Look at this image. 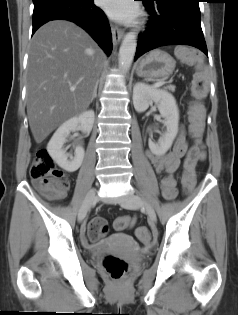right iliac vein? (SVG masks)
Instances as JSON below:
<instances>
[{
    "instance_id": "63e3f726",
    "label": "right iliac vein",
    "mask_w": 238,
    "mask_h": 315,
    "mask_svg": "<svg viewBox=\"0 0 238 315\" xmlns=\"http://www.w3.org/2000/svg\"><path fill=\"white\" fill-rule=\"evenodd\" d=\"M95 200H96V191L94 189H91L86 194L85 200L79 210V213H78L79 222H82L85 219L90 206L93 204Z\"/></svg>"
}]
</instances>
